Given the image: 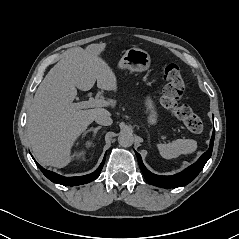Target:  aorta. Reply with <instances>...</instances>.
Wrapping results in <instances>:
<instances>
[{
	"instance_id": "obj_1",
	"label": "aorta",
	"mask_w": 239,
	"mask_h": 239,
	"mask_svg": "<svg viewBox=\"0 0 239 239\" xmlns=\"http://www.w3.org/2000/svg\"><path fill=\"white\" fill-rule=\"evenodd\" d=\"M118 143L122 147H130L134 143V136L129 131H122L118 136Z\"/></svg>"
}]
</instances>
